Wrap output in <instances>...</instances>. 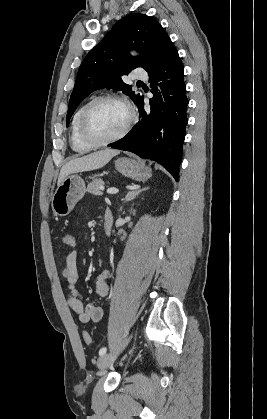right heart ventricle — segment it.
Returning a JSON list of instances; mask_svg holds the SVG:
<instances>
[{"label":"right heart ventricle","instance_id":"e07e8e85","mask_svg":"<svg viewBox=\"0 0 267 419\" xmlns=\"http://www.w3.org/2000/svg\"><path fill=\"white\" fill-rule=\"evenodd\" d=\"M86 104L80 106L73 115L72 122H71V135H70V144L73 151L84 154L93 149L92 146L87 145L84 143L78 134V123L80 114Z\"/></svg>","mask_w":267,"mask_h":419}]
</instances>
